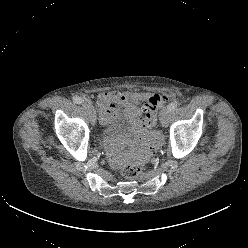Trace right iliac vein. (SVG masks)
Instances as JSON below:
<instances>
[{
	"label": "right iliac vein",
	"mask_w": 248,
	"mask_h": 248,
	"mask_svg": "<svg viewBox=\"0 0 248 248\" xmlns=\"http://www.w3.org/2000/svg\"><path fill=\"white\" fill-rule=\"evenodd\" d=\"M84 107L89 111V114L92 118V122L93 124H95V120H96V111L91 103V101L89 99H85V102H84Z\"/></svg>",
	"instance_id": "1"
}]
</instances>
